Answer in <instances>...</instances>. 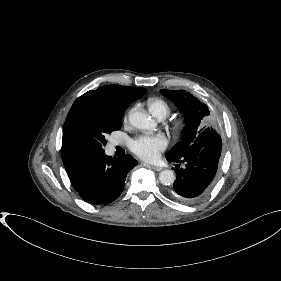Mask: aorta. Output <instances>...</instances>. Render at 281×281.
Segmentation results:
<instances>
[{"mask_svg":"<svg viewBox=\"0 0 281 281\" xmlns=\"http://www.w3.org/2000/svg\"><path fill=\"white\" fill-rule=\"evenodd\" d=\"M129 121L132 126L138 129H149L153 125L152 119L141 111L131 113ZM159 180L163 185H171L175 181V174L172 170H163L159 174Z\"/></svg>","mask_w":281,"mask_h":281,"instance_id":"1","label":"aorta"}]
</instances>
